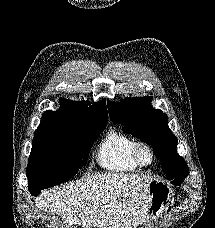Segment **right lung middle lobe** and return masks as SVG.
<instances>
[{
	"mask_svg": "<svg viewBox=\"0 0 215 228\" xmlns=\"http://www.w3.org/2000/svg\"><path fill=\"white\" fill-rule=\"evenodd\" d=\"M106 124L68 126L34 134L27 166L30 193L37 196L42 189L72 178L86 164L90 148Z\"/></svg>",
	"mask_w": 215,
	"mask_h": 228,
	"instance_id": "right-lung-middle-lobe-1",
	"label": "right lung middle lobe"
}]
</instances>
